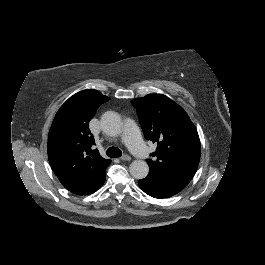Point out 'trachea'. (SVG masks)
<instances>
[{"label":"trachea","mask_w":265,"mask_h":265,"mask_svg":"<svg viewBox=\"0 0 265 265\" xmlns=\"http://www.w3.org/2000/svg\"><path fill=\"white\" fill-rule=\"evenodd\" d=\"M106 154L108 157L111 158H117V157H121L122 152L119 148L116 147H110L107 149Z\"/></svg>","instance_id":"1"}]
</instances>
